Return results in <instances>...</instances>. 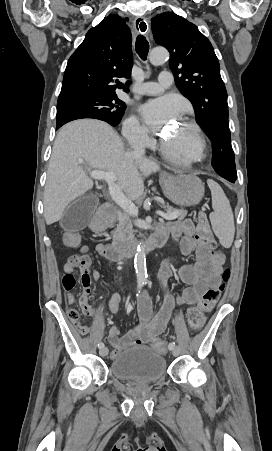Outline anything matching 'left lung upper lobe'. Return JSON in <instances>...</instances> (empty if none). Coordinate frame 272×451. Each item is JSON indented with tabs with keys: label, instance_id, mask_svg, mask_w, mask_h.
<instances>
[{
	"label": "left lung upper lobe",
	"instance_id": "left-lung-upper-lobe-1",
	"mask_svg": "<svg viewBox=\"0 0 272 451\" xmlns=\"http://www.w3.org/2000/svg\"><path fill=\"white\" fill-rule=\"evenodd\" d=\"M151 21L156 43L170 52L177 87L192 102L197 123L213 142V168L223 178H237L227 92L210 41L196 25L175 13L165 12Z\"/></svg>",
	"mask_w": 272,
	"mask_h": 451
}]
</instances>
